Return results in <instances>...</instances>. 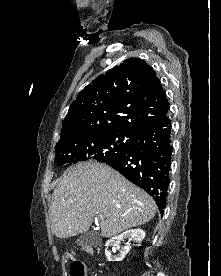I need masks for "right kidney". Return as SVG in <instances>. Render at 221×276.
<instances>
[{
  "instance_id": "obj_1",
  "label": "right kidney",
  "mask_w": 221,
  "mask_h": 276,
  "mask_svg": "<svg viewBox=\"0 0 221 276\" xmlns=\"http://www.w3.org/2000/svg\"><path fill=\"white\" fill-rule=\"evenodd\" d=\"M144 237H145V232L142 229H131V230L125 231L124 233H122L117 237H113L109 239L105 244L106 246L105 255L108 261H122L131 248L130 245H126L122 247L120 254L118 256H112L110 251L107 250L109 246L118 247L121 241H123L125 238H128L129 240H132L138 243L139 245L144 239Z\"/></svg>"
}]
</instances>
